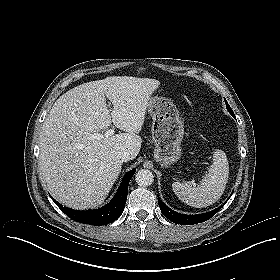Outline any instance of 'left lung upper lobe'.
<instances>
[{
    "label": "left lung upper lobe",
    "instance_id": "obj_1",
    "mask_svg": "<svg viewBox=\"0 0 280 280\" xmlns=\"http://www.w3.org/2000/svg\"><path fill=\"white\" fill-rule=\"evenodd\" d=\"M225 104H226V108H227V110L229 111V113H230L233 117H235V115H234V113H233L231 107L229 106V104H228V102H227L226 100H225Z\"/></svg>",
    "mask_w": 280,
    "mask_h": 280
}]
</instances>
